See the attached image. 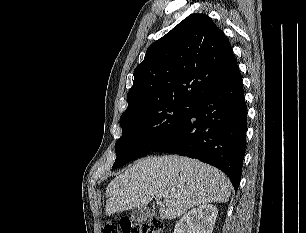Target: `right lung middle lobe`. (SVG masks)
<instances>
[{"label":"right lung middle lobe","instance_id":"1","mask_svg":"<svg viewBox=\"0 0 306 233\" xmlns=\"http://www.w3.org/2000/svg\"><path fill=\"white\" fill-rule=\"evenodd\" d=\"M197 104L185 99H163L120 117L123 129L115 144L117 158L112 170L125 165L164 142Z\"/></svg>","mask_w":306,"mask_h":233}]
</instances>
